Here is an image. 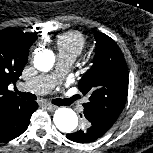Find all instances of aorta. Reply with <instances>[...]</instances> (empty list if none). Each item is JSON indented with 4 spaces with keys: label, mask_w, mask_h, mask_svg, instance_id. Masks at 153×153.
Listing matches in <instances>:
<instances>
[{
    "label": "aorta",
    "mask_w": 153,
    "mask_h": 153,
    "mask_svg": "<svg viewBox=\"0 0 153 153\" xmlns=\"http://www.w3.org/2000/svg\"><path fill=\"white\" fill-rule=\"evenodd\" d=\"M55 63V56L51 50H42L34 58V66L40 71H49ZM58 130L64 133L73 132L78 126L77 114L70 108H58L53 117Z\"/></svg>",
    "instance_id": "obj_1"
}]
</instances>
